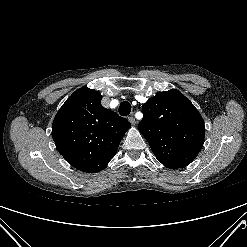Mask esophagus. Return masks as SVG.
Segmentation results:
<instances>
[{
    "label": "esophagus",
    "instance_id": "1",
    "mask_svg": "<svg viewBox=\"0 0 247 247\" xmlns=\"http://www.w3.org/2000/svg\"><path fill=\"white\" fill-rule=\"evenodd\" d=\"M128 120L130 121V123L132 125H135L136 124V120H135V118L132 115L128 118Z\"/></svg>",
    "mask_w": 247,
    "mask_h": 247
}]
</instances>
